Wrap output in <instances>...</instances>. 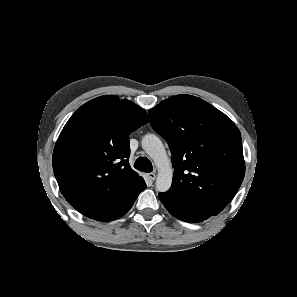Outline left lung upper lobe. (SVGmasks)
Wrapping results in <instances>:
<instances>
[{
    "label": "left lung upper lobe",
    "instance_id": "obj_1",
    "mask_svg": "<svg viewBox=\"0 0 297 297\" xmlns=\"http://www.w3.org/2000/svg\"><path fill=\"white\" fill-rule=\"evenodd\" d=\"M149 116L172 153L173 181L166 194L202 219L217 215L244 178L239 129L224 113L191 95L172 96L150 109Z\"/></svg>",
    "mask_w": 297,
    "mask_h": 297
}]
</instances>
